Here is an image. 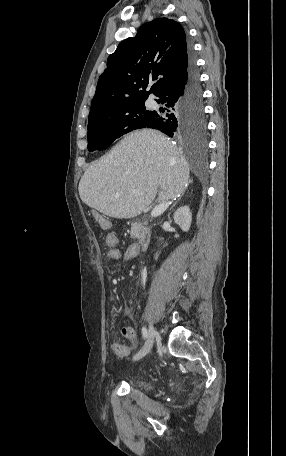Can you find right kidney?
<instances>
[{
    "label": "right kidney",
    "instance_id": "ca27d5eb",
    "mask_svg": "<svg viewBox=\"0 0 286 456\" xmlns=\"http://www.w3.org/2000/svg\"><path fill=\"white\" fill-rule=\"evenodd\" d=\"M174 221L184 232H187L192 222V213L190 212L189 206L178 208L174 213Z\"/></svg>",
    "mask_w": 286,
    "mask_h": 456
}]
</instances>
